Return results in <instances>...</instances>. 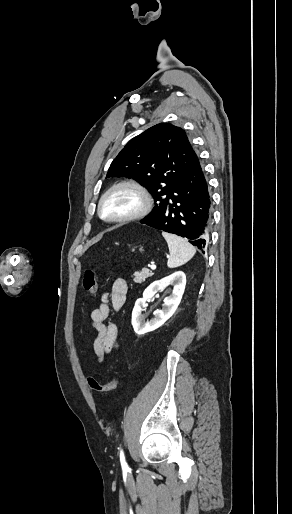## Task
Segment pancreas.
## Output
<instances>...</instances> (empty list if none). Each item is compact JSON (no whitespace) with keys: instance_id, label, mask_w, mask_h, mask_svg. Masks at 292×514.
Masks as SVG:
<instances>
[{"instance_id":"cf45deb5","label":"pancreas","mask_w":292,"mask_h":514,"mask_svg":"<svg viewBox=\"0 0 292 514\" xmlns=\"http://www.w3.org/2000/svg\"><path fill=\"white\" fill-rule=\"evenodd\" d=\"M151 276H153V272H150L147 268H143L141 272H134L133 280L136 284H142V282H145L146 278H151Z\"/></svg>"}]
</instances>
